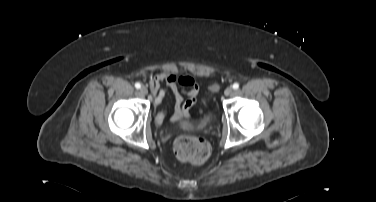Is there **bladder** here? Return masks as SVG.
<instances>
[{
  "label": "bladder",
  "mask_w": 376,
  "mask_h": 202,
  "mask_svg": "<svg viewBox=\"0 0 376 202\" xmlns=\"http://www.w3.org/2000/svg\"><path fill=\"white\" fill-rule=\"evenodd\" d=\"M210 121H211V116H210V115H207V116H205V117L203 118V120L201 121V123H202V124H206V123H208V122H210ZM185 126H191V123L187 122V123L185 124Z\"/></svg>",
  "instance_id": "1"
}]
</instances>
